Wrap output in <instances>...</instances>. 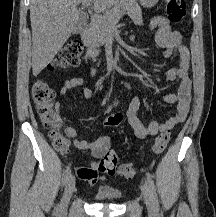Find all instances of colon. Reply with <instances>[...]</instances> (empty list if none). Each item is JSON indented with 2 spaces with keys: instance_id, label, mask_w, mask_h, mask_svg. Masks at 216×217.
Masks as SVG:
<instances>
[{
  "instance_id": "obj_1",
  "label": "colon",
  "mask_w": 216,
  "mask_h": 217,
  "mask_svg": "<svg viewBox=\"0 0 216 217\" xmlns=\"http://www.w3.org/2000/svg\"><path fill=\"white\" fill-rule=\"evenodd\" d=\"M166 13L170 21L179 23L186 14L185 0H165ZM82 44L79 41H70L58 54L54 65L73 68L79 65L82 53ZM55 93L46 80L38 79L32 86V99L36 105L37 113L45 128L50 131V137L54 147L65 152L68 149V141L60 132V118L54 110L53 101ZM123 120L121 113L110 115L105 125L107 127L118 126ZM170 140L168 132L160 133L154 142L153 151L161 154L167 147ZM98 170L109 175L118 174L125 178L134 177L138 168L133 164H119L118 157L114 151L106 152L99 161Z\"/></svg>"
}]
</instances>
